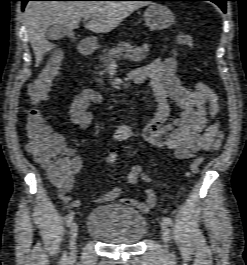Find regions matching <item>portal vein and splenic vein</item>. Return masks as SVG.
<instances>
[{"instance_id":"obj_1","label":"portal vein and splenic vein","mask_w":247,"mask_h":265,"mask_svg":"<svg viewBox=\"0 0 247 265\" xmlns=\"http://www.w3.org/2000/svg\"><path fill=\"white\" fill-rule=\"evenodd\" d=\"M84 19H85V20H89V19H90V15H86V16H84ZM113 62L115 63L114 60H113Z\"/></svg>"}]
</instances>
